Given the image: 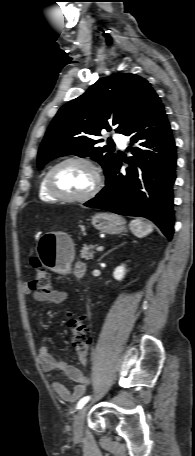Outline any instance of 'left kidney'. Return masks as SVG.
<instances>
[{
  "label": "left kidney",
  "mask_w": 195,
  "mask_h": 456,
  "mask_svg": "<svg viewBox=\"0 0 195 456\" xmlns=\"http://www.w3.org/2000/svg\"><path fill=\"white\" fill-rule=\"evenodd\" d=\"M125 273H126L125 265H120L114 270L113 276L116 280L121 281L124 278Z\"/></svg>",
  "instance_id": "left-kidney-1"
}]
</instances>
